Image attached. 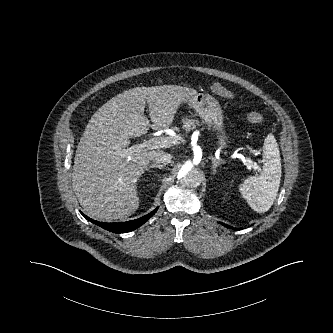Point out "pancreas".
I'll list each match as a JSON object with an SVG mask.
<instances>
[{"label": "pancreas", "mask_w": 333, "mask_h": 333, "mask_svg": "<svg viewBox=\"0 0 333 333\" xmlns=\"http://www.w3.org/2000/svg\"><path fill=\"white\" fill-rule=\"evenodd\" d=\"M182 122H183V128L186 130V131H190L191 129H194L196 127L195 124H198L199 122L197 120H193V119H188L187 117L186 118H183L182 119Z\"/></svg>", "instance_id": "cf45deb5"}]
</instances>
